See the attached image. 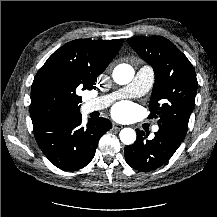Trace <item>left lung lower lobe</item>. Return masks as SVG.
Wrapping results in <instances>:
<instances>
[{
    "label": "left lung lower lobe",
    "mask_w": 217,
    "mask_h": 217,
    "mask_svg": "<svg viewBox=\"0 0 217 217\" xmlns=\"http://www.w3.org/2000/svg\"><path fill=\"white\" fill-rule=\"evenodd\" d=\"M137 139L124 150L128 165L140 171H151L165 164L175 153L186 133L167 124L159 125L152 140H146L143 131L136 130Z\"/></svg>",
    "instance_id": "left-lung-lower-lobe-1"
}]
</instances>
